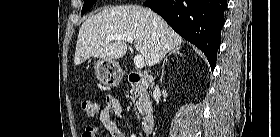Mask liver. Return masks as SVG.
Instances as JSON below:
<instances>
[{"label":"liver","mask_w":280,"mask_h":137,"mask_svg":"<svg viewBox=\"0 0 280 137\" xmlns=\"http://www.w3.org/2000/svg\"><path fill=\"white\" fill-rule=\"evenodd\" d=\"M112 35L131 36L149 67L183 43V38L150 9L136 5L115 6L92 15L82 24L74 64L80 65L90 57L122 58L127 52L126 41H106Z\"/></svg>","instance_id":"6515ba94"}]
</instances>
